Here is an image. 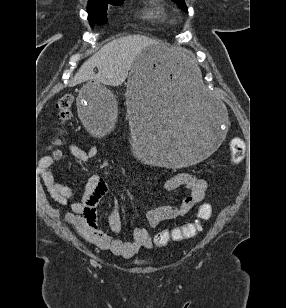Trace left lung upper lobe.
<instances>
[{
  "label": "left lung upper lobe",
  "mask_w": 286,
  "mask_h": 308,
  "mask_svg": "<svg viewBox=\"0 0 286 308\" xmlns=\"http://www.w3.org/2000/svg\"><path fill=\"white\" fill-rule=\"evenodd\" d=\"M183 11H188L184 0H173Z\"/></svg>",
  "instance_id": "left-lung-upper-lobe-1"
}]
</instances>
